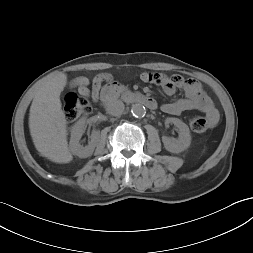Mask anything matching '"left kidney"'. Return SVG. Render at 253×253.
Returning <instances> with one entry per match:
<instances>
[{
	"instance_id": "5707ae66",
	"label": "left kidney",
	"mask_w": 253,
	"mask_h": 253,
	"mask_svg": "<svg viewBox=\"0 0 253 253\" xmlns=\"http://www.w3.org/2000/svg\"><path fill=\"white\" fill-rule=\"evenodd\" d=\"M166 123L174 124L179 130L178 139H171L166 136L162 137L164 147L172 153H180L187 149L191 143V135L188 126L178 118H167Z\"/></svg>"
}]
</instances>
